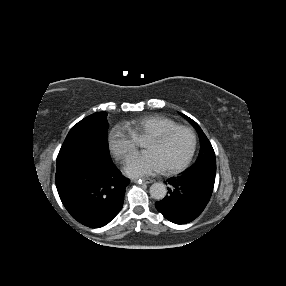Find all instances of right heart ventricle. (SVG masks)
<instances>
[{
	"mask_svg": "<svg viewBox=\"0 0 286 286\" xmlns=\"http://www.w3.org/2000/svg\"><path fill=\"white\" fill-rule=\"evenodd\" d=\"M180 126L176 121L160 115L141 117L124 124L135 140H142L160 131Z\"/></svg>",
	"mask_w": 286,
	"mask_h": 286,
	"instance_id": "right-heart-ventricle-1",
	"label": "right heart ventricle"
}]
</instances>
